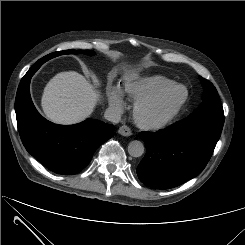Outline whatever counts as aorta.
<instances>
[{"instance_id":"1","label":"aorta","mask_w":245,"mask_h":245,"mask_svg":"<svg viewBox=\"0 0 245 245\" xmlns=\"http://www.w3.org/2000/svg\"><path fill=\"white\" fill-rule=\"evenodd\" d=\"M128 153L132 157H140L144 153V145L141 141L133 140L128 144Z\"/></svg>"}]
</instances>
